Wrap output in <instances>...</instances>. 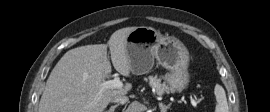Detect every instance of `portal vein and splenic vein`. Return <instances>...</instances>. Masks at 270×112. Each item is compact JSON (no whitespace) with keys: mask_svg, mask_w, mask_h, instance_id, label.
Instances as JSON below:
<instances>
[{"mask_svg":"<svg viewBox=\"0 0 270 112\" xmlns=\"http://www.w3.org/2000/svg\"><path fill=\"white\" fill-rule=\"evenodd\" d=\"M103 88H110V89H118L123 87V83L121 82L119 77H115L112 80L104 81L102 83ZM191 104L193 107H197V102L191 97L190 98Z\"/></svg>","mask_w":270,"mask_h":112,"instance_id":"portal-vein-and-splenic-vein-1","label":"portal vein and splenic vein"}]
</instances>
